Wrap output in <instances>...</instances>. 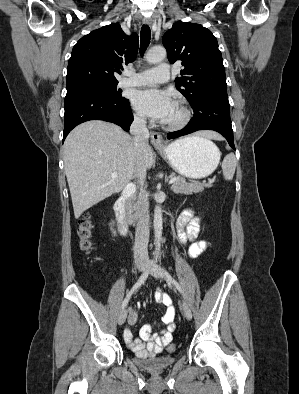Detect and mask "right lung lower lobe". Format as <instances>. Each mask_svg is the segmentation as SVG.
Segmentation results:
<instances>
[{
    "label": "right lung lower lobe",
    "instance_id": "obj_1",
    "mask_svg": "<svg viewBox=\"0 0 299 394\" xmlns=\"http://www.w3.org/2000/svg\"><path fill=\"white\" fill-rule=\"evenodd\" d=\"M64 134L80 123L89 120H104L121 126L128 131L133 122L129 100H115L111 95L99 91L67 93L64 102Z\"/></svg>",
    "mask_w": 299,
    "mask_h": 394
}]
</instances>
